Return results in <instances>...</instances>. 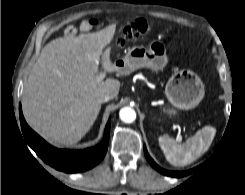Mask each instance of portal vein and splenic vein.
<instances>
[{
    "instance_id": "18ae733b",
    "label": "portal vein and splenic vein",
    "mask_w": 245,
    "mask_h": 195,
    "mask_svg": "<svg viewBox=\"0 0 245 195\" xmlns=\"http://www.w3.org/2000/svg\"><path fill=\"white\" fill-rule=\"evenodd\" d=\"M106 74L105 72H102L96 76V81L101 82L105 78ZM180 139V138H179Z\"/></svg>"
}]
</instances>
